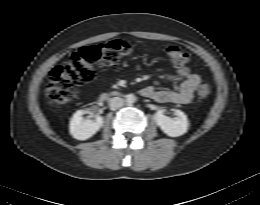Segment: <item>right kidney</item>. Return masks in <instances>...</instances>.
I'll return each mask as SVG.
<instances>
[{"label":"right kidney","mask_w":260,"mask_h":205,"mask_svg":"<svg viewBox=\"0 0 260 205\" xmlns=\"http://www.w3.org/2000/svg\"><path fill=\"white\" fill-rule=\"evenodd\" d=\"M88 111L78 110L70 121V134L77 140H86L92 137L103 125V118L96 115L94 119H84Z\"/></svg>","instance_id":"obj_1"}]
</instances>
